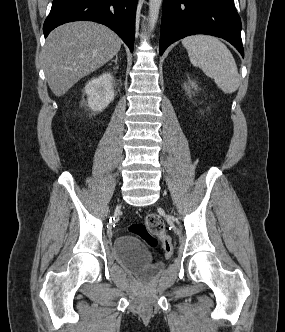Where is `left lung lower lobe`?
I'll use <instances>...</instances> for the list:
<instances>
[{
  "mask_svg": "<svg viewBox=\"0 0 285 332\" xmlns=\"http://www.w3.org/2000/svg\"><path fill=\"white\" fill-rule=\"evenodd\" d=\"M193 34L223 38L244 57L241 20L233 0H163L160 55L173 42Z\"/></svg>",
  "mask_w": 285,
  "mask_h": 332,
  "instance_id": "obj_1",
  "label": "left lung lower lobe"
}]
</instances>
